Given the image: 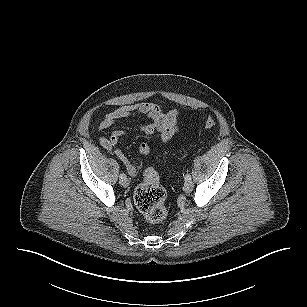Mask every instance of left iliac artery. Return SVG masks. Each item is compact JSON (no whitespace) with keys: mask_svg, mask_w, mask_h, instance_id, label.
Instances as JSON below:
<instances>
[{"mask_svg":"<svg viewBox=\"0 0 307 307\" xmlns=\"http://www.w3.org/2000/svg\"><path fill=\"white\" fill-rule=\"evenodd\" d=\"M188 179H191V175L186 174V175H185V180H188Z\"/></svg>","mask_w":307,"mask_h":307,"instance_id":"1","label":"left iliac artery"}]
</instances>
